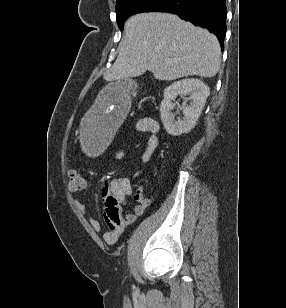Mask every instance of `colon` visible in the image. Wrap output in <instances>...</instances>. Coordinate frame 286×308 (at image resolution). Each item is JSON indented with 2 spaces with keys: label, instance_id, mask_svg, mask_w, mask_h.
Here are the masks:
<instances>
[{
  "label": "colon",
  "instance_id": "5ec220e1",
  "mask_svg": "<svg viewBox=\"0 0 286 308\" xmlns=\"http://www.w3.org/2000/svg\"><path fill=\"white\" fill-rule=\"evenodd\" d=\"M69 188L72 191H81L87 188V181L84 176L75 170L68 171Z\"/></svg>",
  "mask_w": 286,
  "mask_h": 308
}]
</instances>
